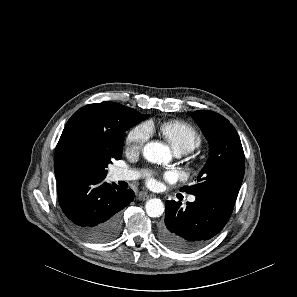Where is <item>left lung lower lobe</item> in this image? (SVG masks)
Here are the masks:
<instances>
[{"instance_id": "1", "label": "left lung lower lobe", "mask_w": 297, "mask_h": 297, "mask_svg": "<svg viewBox=\"0 0 297 297\" xmlns=\"http://www.w3.org/2000/svg\"><path fill=\"white\" fill-rule=\"evenodd\" d=\"M196 200L165 202V223L160 228V239L168 248L190 253L202 248L217 235L229 220L238 193L211 191L195 195Z\"/></svg>"}]
</instances>
